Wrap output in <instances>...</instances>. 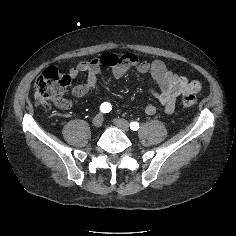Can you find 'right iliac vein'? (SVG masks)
I'll return each instance as SVG.
<instances>
[{
  "label": "right iliac vein",
  "instance_id": "1",
  "mask_svg": "<svg viewBox=\"0 0 236 236\" xmlns=\"http://www.w3.org/2000/svg\"><path fill=\"white\" fill-rule=\"evenodd\" d=\"M93 126L99 128L103 124V116L101 114L96 115L92 120Z\"/></svg>",
  "mask_w": 236,
  "mask_h": 236
}]
</instances>
